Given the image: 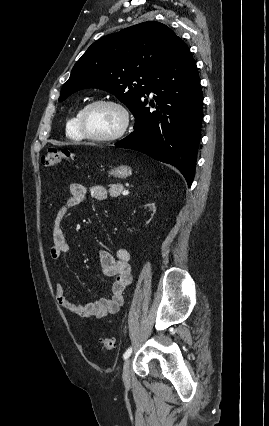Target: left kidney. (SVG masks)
<instances>
[{
  "instance_id": "5707ae66",
  "label": "left kidney",
  "mask_w": 269,
  "mask_h": 426,
  "mask_svg": "<svg viewBox=\"0 0 269 426\" xmlns=\"http://www.w3.org/2000/svg\"><path fill=\"white\" fill-rule=\"evenodd\" d=\"M145 207H148V208H149V211H151V212H152V214H151L150 216H148V217H147V220H148V221H146V224H148V223L152 220V218L154 217L153 215H154V213L156 212V206H155V204H154V203H149V204H146V205H145Z\"/></svg>"
}]
</instances>
